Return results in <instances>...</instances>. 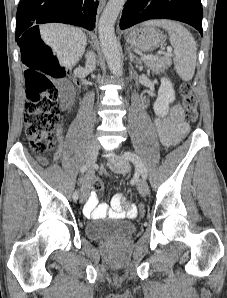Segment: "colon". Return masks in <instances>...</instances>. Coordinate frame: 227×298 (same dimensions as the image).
<instances>
[{
	"mask_svg": "<svg viewBox=\"0 0 227 298\" xmlns=\"http://www.w3.org/2000/svg\"><path fill=\"white\" fill-rule=\"evenodd\" d=\"M59 72L46 49L37 44L26 56V103L24 106L25 134L31 148L37 153L49 152L54 148V129L59 122L62 104L59 102V91L50 76ZM50 75V76H49ZM186 121L196 123L199 117L198 102L188 83L180 86ZM95 191L103 189L102 181L96 179L92 183ZM143 206L142 202L138 203ZM143 218L144 209L139 208Z\"/></svg>",
	"mask_w": 227,
	"mask_h": 298,
	"instance_id": "5ec220e1",
	"label": "colon"
}]
</instances>
